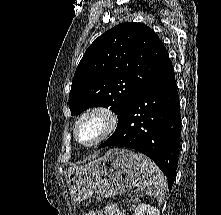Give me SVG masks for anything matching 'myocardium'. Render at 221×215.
<instances>
[{
	"label": "myocardium",
	"mask_w": 221,
	"mask_h": 215,
	"mask_svg": "<svg viewBox=\"0 0 221 215\" xmlns=\"http://www.w3.org/2000/svg\"><path fill=\"white\" fill-rule=\"evenodd\" d=\"M98 116L103 121L101 133L90 143H82L78 138V128L88 117ZM119 120L117 114L110 107L103 105L91 106L80 113L73 125V137L75 142L84 148H92L107 140L117 129Z\"/></svg>",
	"instance_id": "obj_1"
}]
</instances>
